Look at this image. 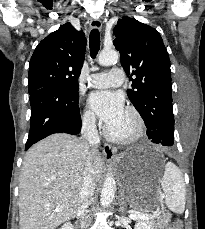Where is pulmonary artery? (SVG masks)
Instances as JSON below:
<instances>
[{
	"instance_id": "pulmonary-artery-1",
	"label": "pulmonary artery",
	"mask_w": 205,
	"mask_h": 229,
	"mask_svg": "<svg viewBox=\"0 0 205 229\" xmlns=\"http://www.w3.org/2000/svg\"><path fill=\"white\" fill-rule=\"evenodd\" d=\"M124 82V71L114 67L108 73H94L88 78V83L94 88L119 86Z\"/></svg>"
}]
</instances>
